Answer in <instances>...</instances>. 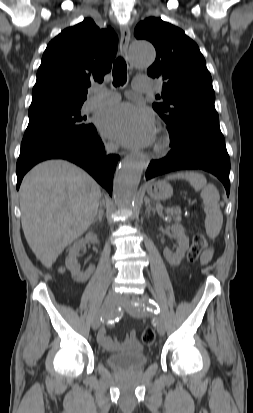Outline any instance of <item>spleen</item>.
<instances>
[{
  "label": "spleen",
  "instance_id": "3e777b00",
  "mask_svg": "<svg viewBox=\"0 0 253 413\" xmlns=\"http://www.w3.org/2000/svg\"><path fill=\"white\" fill-rule=\"evenodd\" d=\"M167 179H184L190 183L195 191H201L203 200L206 234L209 238H215L220 233L223 224V215L220 210V195L213 184H207L205 176L199 172L186 171L178 172L167 176Z\"/></svg>",
  "mask_w": 253,
  "mask_h": 413
}]
</instances>
